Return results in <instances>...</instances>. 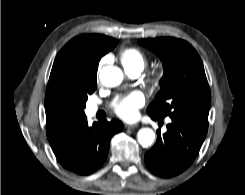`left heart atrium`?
I'll return each mask as SVG.
<instances>
[{"label":"left heart atrium","mask_w":245,"mask_h":195,"mask_svg":"<svg viewBox=\"0 0 245 195\" xmlns=\"http://www.w3.org/2000/svg\"><path fill=\"white\" fill-rule=\"evenodd\" d=\"M144 104V96L134 91L126 96L117 98L113 104L114 112L125 120H132L138 114V109Z\"/></svg>","instance_id":"left-heart-atrium-1"}]
</instances>
